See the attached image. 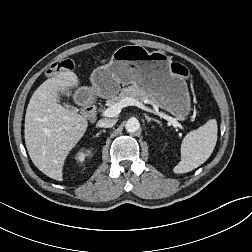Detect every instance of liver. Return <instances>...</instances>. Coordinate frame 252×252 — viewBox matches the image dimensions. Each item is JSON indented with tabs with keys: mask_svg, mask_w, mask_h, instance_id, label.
Returning <instances> with one entry per match:
<instances>
[{
	"mask_svg": "<svg viewBox=\"0 0 252 252\" xmlns=\"http://www.w3.org/2000/svg\"><path fill=\"white\" fill-rule=\"evenodd\" d=\"M79 83L72 71L46 80L33 93L26 110L24 133L28 154L41 172L57 181L63 180L65 159L88 127L86 118L58 102L60 94L71 96V90Z\"/></svg>",
	"mask_w": 252,
	"mask_h": 252,
	"instance_id": "obj_1",
	"label": "liver"
}]
</instances>
